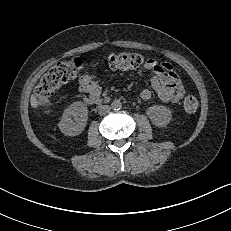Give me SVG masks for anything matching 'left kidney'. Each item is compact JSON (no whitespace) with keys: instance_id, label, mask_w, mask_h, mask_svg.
<instances>
[{"instance_id":"obj_1","label":"left kidney","mask_w":231,"mask_h":231,"mask_svg":"<svg viewBox=\"0 0 231 231\" xmlns=\"http://www.w3.org/2000/svg\"><path fill=\"white\" fill-rule=\"evenodd\" d=\"M147 115L154 125L165 127L171 120L172 112L165 106L153 105L148 108Z\"/></svg>"}]
</instances>
